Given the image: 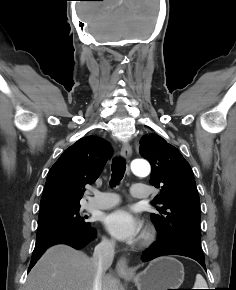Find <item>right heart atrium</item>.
<instances>
[{
    "label": "right heart atrium",
    "mask_w": 236,
    "mask_h": 290,
    "mask_svg": "<svg viewBox=\"0 0 236 290\" xmlns=\"http://www.w3.org/2000/svg\"><path fill=\"white\" fill-rule=\"evenodd\" d=\"M104 243L107 244V245H111L112 241L110 239L105 238L104 239Z\"/></svg>",
    "instance_id": "1"
}]
</instances>
